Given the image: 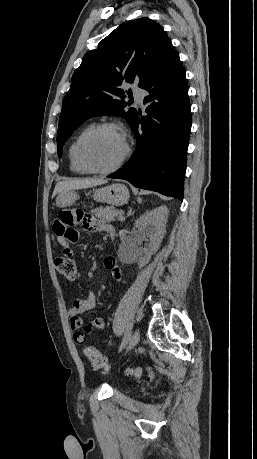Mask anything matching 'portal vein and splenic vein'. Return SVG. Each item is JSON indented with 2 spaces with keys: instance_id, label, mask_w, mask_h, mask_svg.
<instances>
[{
  "instance_id": "portal-vein-and-splenic-vein-1",
  "label": "portal vein and splenic vein",
  "mask_w": 257,
  "mask_h": 459,
  "mask_svg": "<svg viewBox=\"0 0 257 459\" xmlns=\"http://www.w3.org/2000/svg\"><path fill=\"white\" fill-rule=\"evenodd\" d=\"M118 219L121 221L124 220V217L122 216V214L119 215Z\"/></svg>"
}]
</instances>
